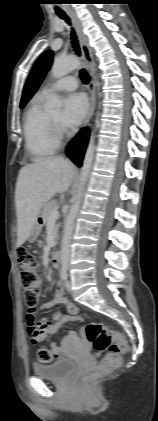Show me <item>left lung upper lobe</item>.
<instances>
[{"mask_svg": "<svg viewBox=\"0 0 158 421\" xmlns=\"http://www.w3.org/2000/svg\"><path fill=\"white\" fill-rule=\"evenodd\" d=\"M53 53L52 51L48 50L44 52L36 61L32 72L25 84V88L23 90V95L20 103V107H24V105L30 100L33 94L37 91L39 85L41 84L42 80L44 79L46 72L49 70L51 63H52Z\"/></svg>", "mask_w": 158, "mask_h": 421, "instance_id": "5c2ea615", "label": "left lung upper lobe"}]
</instances>
